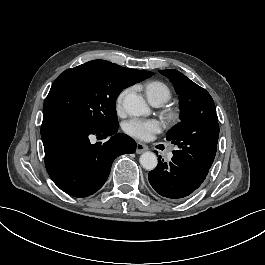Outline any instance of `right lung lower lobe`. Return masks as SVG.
I'll return each instance as SVG.
<instances>
[{
    "instance_id": "98d812e1",
    "label": "right lung lower lobe",
    "mask_w": 265,
    "mask_h": 265,
    "mask_svg": "<svg viewBox=\"0 0 265 265\" xmlns=\"http://www.w3.org/2000/svg\"><path fill=\"white\" fill-rule=\"evenodd\" d=\"M117 131L118 127L97 131L62 114H43L41 137L50 178L71 196L95 193L107 180L114 159L136 150L135 141ZM93 135L98 139L112 137L103 144H93Z\"/></svg>"
}]
</instances>
